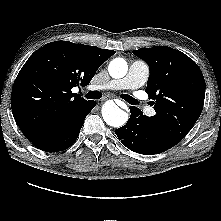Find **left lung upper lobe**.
Wrapping results in <instances>:
<instances>
[{
    "instance_id": "obj_1",
    "label": "left lung upper lobe",
    "mask_w": 221,
    "mask_h": 221,
    "mask_svg": "<svg viewBox=\"0 0 221 221\" xmlns=\"http://www.w3.org/2000/svg\"><path fill=\"white\" fill-rule=\"evenodd\" d=\"M133 53L150 68L146 92L156 115L149 120L163 138L176 145L198 120L204 104L205 80L198 65L184 53L165 46Z\"/></svg>"
}]
</instances>
